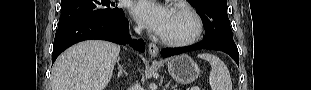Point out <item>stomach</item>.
I'll list each match as a JSON object with an SVG mask.
<instances>
[{"instance_id": "1", "label": "stomach", "mask_w": 311, "mask_h": 90, "mask_svg": "<svg viewBox=\"0 0 311 90\" xmlns=\"http://www.w3.org/2000/svg\"><path fill=\"white\" fill-rule=\"evenodd\" d=\"M168 72L177 82L188 84L198 78L200 68L190 56L182 54L170 59Z\"/></svg>"}]
</instances>
